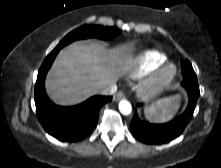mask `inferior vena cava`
I'll return each mask as SVG.
<instances>
[{
	"label": "inferior vena cava",
	"instance_id": "602c4592",
	"mask_svg": "<svg viewBox=\"0 0 221 168\" xmlns=\"http://www.w3.org/2000/svg\"><path fill=\"white\" fill-rule=\"evenodd\" d=\"M117 91V85L115 82L107 85L105 88L101 89L100 94L102 95H113Z\"/></svg>",
	"mask_w": 221,
	"mask_h": 168
}]
</instances>
